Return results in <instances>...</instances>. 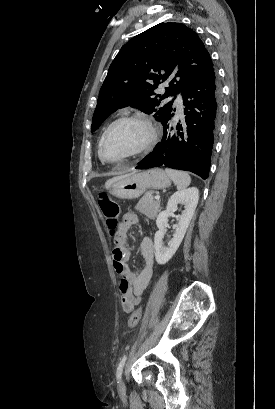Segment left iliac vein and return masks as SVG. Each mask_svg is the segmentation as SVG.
I'll return each instance as SVG.
<instances>
[{"mask_svg":"<svg viewBox=\"0 0 275 409\" xmlns=\"http://www.w3.org/2000/svg\"><path fill=\"white\" fill-rule=\"evenodd\" d=\"M124 390H125V384H124L123 380L121 379L118 382V391L123 392Z\"/></svg>","mask_w":275,"mask_h":409,"instance_id":"obj_1","label":"left iliac vein"}]
</instances>
